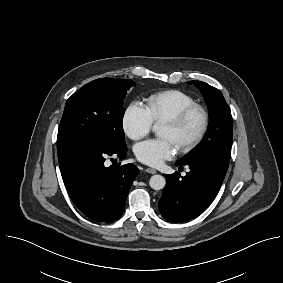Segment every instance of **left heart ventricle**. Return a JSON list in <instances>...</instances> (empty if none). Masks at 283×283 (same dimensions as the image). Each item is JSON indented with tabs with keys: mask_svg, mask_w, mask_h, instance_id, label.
Instances as JSON below:
<instances>
[{
	"mask_svg": "<svg viewBox=\"0 0 283 283\" xmlns=\"http://www.w3.org/2000/svg\"><path fill=\"white\" fill-rule=\"evenodd\" d=\"M200 125V116L194 114L181 130H174L168 125H162L160 136L171 140L176 146L195 135Z\"/></svg>",
	"mask_w": 283,
	"mask_h": 283,
	"instance_id": "obj_1",
	"label": "left heart ventricle"
}]
</instances>
